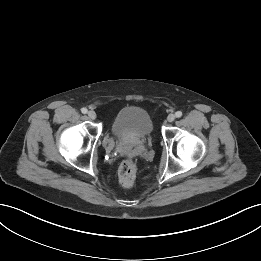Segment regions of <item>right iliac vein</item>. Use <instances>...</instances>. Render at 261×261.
Wrapping results in <instances>:
<instances>
[{"label": "right iliac vein", "instance_id": "obj_1", "mask_svg": "<svg viewBox=\"0 0 261 261\" xmlns=\"http://www.w3.org/2000/svg\"><path fill=\"white\" fill-rule=\"evenodd\" d=\"M88 117L91 119V120H95L96 119V113L92 110L88 111Z\"/></svg>", "mask_w": 261, "mask_h": 261}]
</instances>
